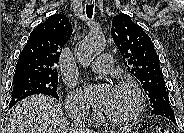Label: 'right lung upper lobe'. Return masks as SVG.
<instances>
[{"label": "right lung upper lobe", "mask_w": 184, "mask_h": 133, "mask_svg": "<svg viewBox=\"0 0 184 133\" xmlns=\"http://www.w3.org/2000/svg\"><path fill=\"white\" fill-rule=\"evenodd\" d=\"M72 32V25L64 14L52 15L38 25L19 56L13 78L58 77L56 65Z\"/></svg>", "instance_id": "obj_1"}]
</instances>
